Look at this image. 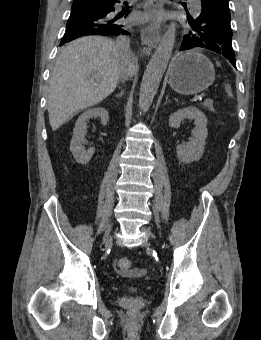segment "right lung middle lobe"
<instances>
[{"label":"right lung middle lobe","mask_w":261,"mask_h":340,"mask_svg":"<svg viewBox=\"0 0 261 340\" xmlns=\"http://www.w3.org/2000/svg\"><path fill=\"white\" fill-rule=\"evenodd\" d=\"M69 41H72V40H69ZM69 41H63V40H61L60 45H63L64 43L69 42Z\"/></svg>","instance_id":"dd1d6c3e"}]
</instances>
